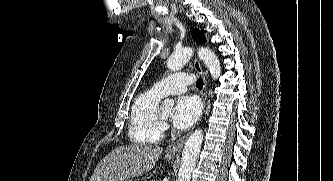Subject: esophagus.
I'll return each instance as SVG.
<instances>
[{"instance_id":"obj_1","label":"esophagus","mask_w":333,"mask_h":181,"mask_svg":"<svg viewBox=\"0 0 333 181\" xmlns=\"http://www.w3.org/2000/svg\"><path fill=\"white\" fill-rule=\"evenodd\" d=\"M194 68H195L196 72L202 76L203 81H204V87L202 90V100H203V106L205 108L206 100H207V81H206V76L202 69V66L197 58H195V60H194ZM188 136H189V133L187 135H185L184 137H182L181 139H179L178 141H176L175 143L171 144L168 147V152L171 154L180 153Z\"/></svg>"}]
</instances>
